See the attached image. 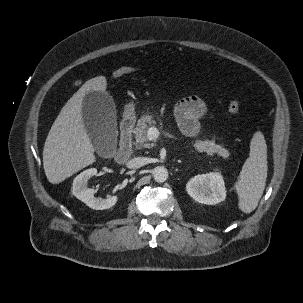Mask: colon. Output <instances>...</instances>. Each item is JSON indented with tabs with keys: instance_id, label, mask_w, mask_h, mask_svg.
<instances>
[{
	"instance_id": "colon-1",
	"label": "colon",
	"mask_w": 303,
	"mask_h": 303,
	"mask_svg": "<svg viewBox=\"0 0 303 303\" xmlns=\"http://www.w3.org/2000/svg\"><path fill=\"white\" fill-rule=\"evenodd\" d=\"M133 71H135L134 67H130V66H121L119 68H117L116 70H114L111 74V76L113 78H119L122 77L124 75L130 74ZM228 111L235 115L238 116L241 114V107L240 104L238 102V100L236 98H232L229 103H228Z\"/></svg>"
}]
</instances>
